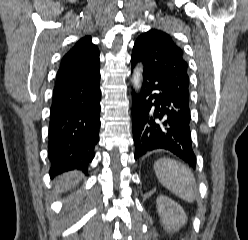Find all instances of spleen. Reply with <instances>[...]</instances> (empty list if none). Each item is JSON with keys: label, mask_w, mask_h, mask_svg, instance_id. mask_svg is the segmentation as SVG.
<instances>
[{"label": "spleen", "mask_w": 248, "mask_h": 240, "mask_svg": "<svg viewBox=\"0 0 248 240\" xmlns=\"http://www.w3.org/2000/svg\"><path fill=\"white\" fill-rule=\"evenodd\" d=\"M154 171L159 182L176 196L193 202L198 194L194 174L186 165L170 158H162L154 163Z\"/></svg>", "instance_id": "3e777b00"}]
</instances>
